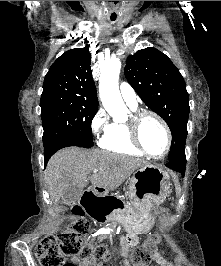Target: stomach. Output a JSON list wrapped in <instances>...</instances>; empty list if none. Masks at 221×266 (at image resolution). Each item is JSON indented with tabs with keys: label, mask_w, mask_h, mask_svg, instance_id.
I'll use <instances>...</instances> for the list:
<instances>
[{
	"label": "stomach",
	"mask_w": 221,
	"mask_h": 266,
	"mask_svg": "<svg viewBox=\"0 0 221 266\" xmlns=\"http://www.w3.org/2000/svg\"><path fill=\"white\" fill-rule=\"evenodd\" d=\"M169 173L160 165L148 164L138 168L129 183L131 206L120 214L134 229L145 230L154 222L152 209L164 202L169 191Z\"/></svg>",
	"instance_id": "stomach-1"
}]
</instances>
